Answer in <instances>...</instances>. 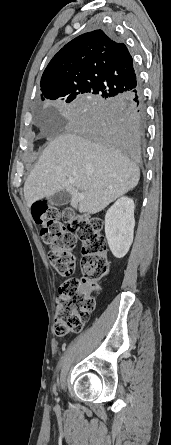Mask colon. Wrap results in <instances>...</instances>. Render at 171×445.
Instances as JSON below:
<instances>
[{"mask_svg": "<svg viewBox=\"0 0 171 445\" xmlns=\"http://www.w3.org/2000/svg\"><path fill=\"white\" fill-rule=\"evenodd\" d=\"M35 222L41 227V239L49 245L48 257L54 269L68 279L60 286L55 315V334L59 337L82 330L95 308L92 293L108 272L107 243L101 218L75 213L70 208H49L45 203L32 207ZM81 247V277H73L77 244Z\"/></svg>", "mask_w": 171, "mask_h": 445, "instance_id": "colon-1", "label": "colon"}]
</instances>
